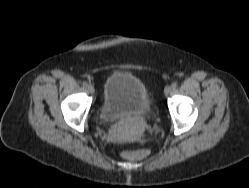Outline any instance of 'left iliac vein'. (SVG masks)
I'll return each instance as SVG.
<instances>
[{
  "mask_svg": "<svg viewBox=\"0 0 249 188\" xmlns=\"http://www.w3.org/2000/svg\"><path fill=\"white\" fill-rule=\"evenodd\" d=\"M172 90V87L171 86H166L165 89H164V94L165 96H167Z\"/></svg>",
  "mask_w": 249,
  "mask_h": 188,
  "instance_id": "4c4485c4",
  "label": "left iliac vein"
}]
</instances>
